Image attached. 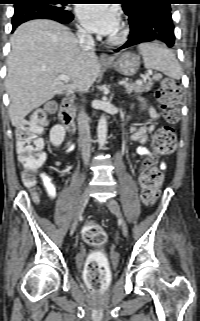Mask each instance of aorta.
Here are the masks:
<instances>
[{
  "label": "aorta",
  "instance_id": "762f6f07",
  "mask_svg": "<svg viewBox=\"0 0 200 321\" xmlns=\"http://www.w3.org/2000/svg\"><path fill=\"white\" fill-rule=\"evenodd\" d=\"M97 136L100 147H103L106 143L107 138V120L104 115H102L99 119L97 127Z\"/></svg>",
  "mask_w": 200,
  "mask_h": 321
}]
</instances>
